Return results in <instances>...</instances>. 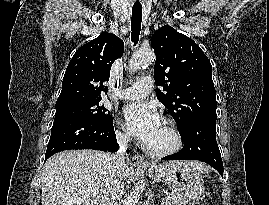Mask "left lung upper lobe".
<instances>
[{"label": "left lung upper lobe", "instance_id": "1", "mask_svg": "<svg viewBox=\"0 0 269 205\" xmlns=\"http://www.w3.org/2000/svg\"><path fill=\"white\" fill-rule=\"evenodd\" d=\"M151 47L156 54L154 79L164 91L157 90V98L170 111L179 133L197 119L216 118L212 66L202 49L167 25L153 34Z\"/></svg>", "mask_w": 269, "mask_h": 205}]
</instances>
